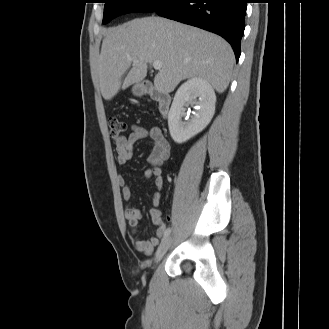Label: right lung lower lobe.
Instances as JSON below:
<instances>
[{
  "instance_id": "1",
  "label": "right lung lower lobe",
  "mask_w": 329,
  "mask_h": 329,
  "mask_svg": "<svg viewBox=\"0 0 329 329\" xmlns=\"http://www.w3.org/2000/svg\"><path fill=\"white\" fill-rule=\"evenodd\" d=\"M247 0H171L158 15L196 26L223 37L238 61L245 29Z\"/></svg>"
}]
</instances>
